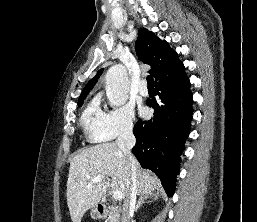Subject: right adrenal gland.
<instances>
[{
    "label": "right adrenal gland",
    "instance_id": "2a0ac1e0",
    "mask_svg": "<svg viewBox=\"0 0 257 222\" xmlns=\"http://www.w3.org/2000/svg\"><path fill=\"white\" fill-rule=\"evenodd\" d=\"M152 198L157 199V195H153ZM146 199H147V197L140 195L135 211H137L142 206V204L145 202Z\"/></svg>",
    "mask_w": 257,
    "mask_h": 222
}]
</instances>
